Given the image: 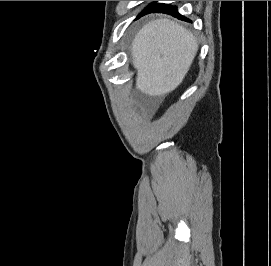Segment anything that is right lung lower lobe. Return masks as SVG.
Wrapping results in <instances>:
<instances>
[{"instance_id": "right-lung-lower-lobe-1", "label": "right lung lower lobe", "mask_w": 271, "mask_h": 266, "mask_svg": "<svg viewBox=\"0 0 271 266\" xmlns=\"http://www.w3.org/2000/svg\"><path fill=\"white\" fill-rule=\"evenodd\" d=\"M151 12H154V13H156V12L157 13H167V14H171L174 17H177L179 19L189 21V20L185 19V17L178 14L176 7H172L171 5H167V4H158L154 8L142 13V15L147 14V13H151Z\"/></svg>"}]
</instances>
